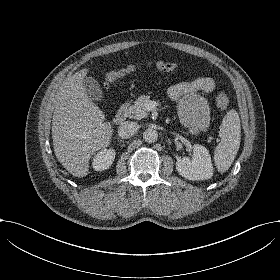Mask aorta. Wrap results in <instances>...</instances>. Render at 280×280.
<instances>
[{"label":"aorta","instance_id":"1","mask_svg":"<svg viewBox=\"0 0 280 280\" xmlns=\"http://www.w3.org/2000/svg\"><path fill=\"white\" fill-rule=\"evenodd\" d=\"M143 138L148 143H154L158 139V132L153 129H146L143 133Z\"/></svg>","mask_w":280,"mask_h":280}]
</instances>
